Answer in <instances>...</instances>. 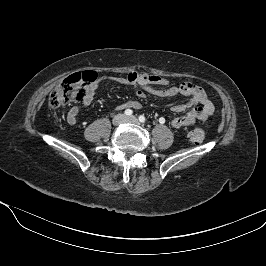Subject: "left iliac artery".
<instances>
[{
    "label": "left iliac artery",
    "mask_w": 266,
    "mask_h": 266,
    "mask_svg": "<svg viewBox=\"0 0 266 266\" xmlns=\"http://www.w3.org/2000/svg\"><path fill=\"white\" fill-rule=\"evenodd\" d=\"M139 121H140L141 123H144V122L146 121V119H145V117H144L143 115H140V116H139Z\"/></svg>",
    "instance_id": "obj_1"
}]
</instances>
